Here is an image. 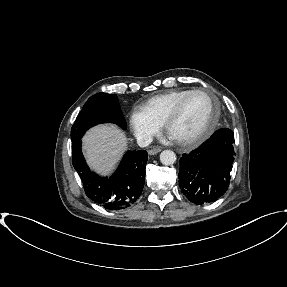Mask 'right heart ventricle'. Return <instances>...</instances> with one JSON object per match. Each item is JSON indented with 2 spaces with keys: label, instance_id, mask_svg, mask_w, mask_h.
I'll list each match as a JSON object with an SVG mask.
<instances>
[{
  "label": "right heart ventricle",
  "instance_id": "obj_1",
  "mask_svg": "<svg viewBox=\"0 0 287 287\" xmlns=\"http://www.w3.org/2000/svg\"><path fill=\"white\" fill-rule=\"evenodd\" d=\"M191 91L192 89H173L155 95L143 102L139 106V110L150 120L161 126L175 104Z\"/></svg>",
  "mask_w": 287,
  "mask_h": 287
}]
</instances>
